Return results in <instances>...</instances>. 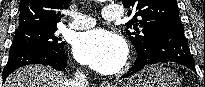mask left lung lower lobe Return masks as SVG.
<instances>
[{"mask_svg":"<svg viewBox=\"0 0 205 87\" xmlns=\"http://www.w3.org/2000/svg\"><path fill=\"white\" fill-rule=\"evenodd\" d=\"M167 62H176L195 71L194 59L181 24L162 30L143 54H137L134 65L124 78L142 70L146 65Z\"/></svg>","mask_w":205,"mask_h":87,"instance_id":"obj_1","label":"left lung lower lobe"}]
</instances>
